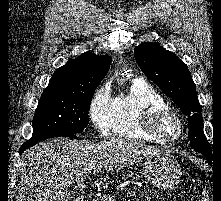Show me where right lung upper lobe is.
I'll list each match as a JSON object with an SVG mask.
<instances>
[{
    "instance_id": "cb5924a9",
    "label": "right lung upper lobe",
    "mask_w": 221,
    "mask_h": 201,
    "mask_svg": "<svg viewBox=\"0 0 221 201\" xmlns=\"http://www.w3.org/2000/svg\"><path fill=\"white\" fill-rule=\"evenodd\" d=\"M110 56L86 52L57 69L44 91L85 94L94 91L106 76Z\"/></svg>"
}]
</instances>
